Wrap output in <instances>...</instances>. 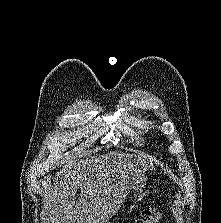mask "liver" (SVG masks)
<instances>
[{
    "instance_id": "6515ba94",
    "label": "liver",
    "mask_w": 221,
    "mask_h": 223,
    "mask_svg": "<svg viewBox=\"0 0 221 223\" xmlns=\"http://www.w3.org/2000/svg\"><path fill=\"white\" fill-rule=\"evenodd\" d=\"M145 168L146 158L123 152L78 162L71 158L55 173L44 223H107ZM78 189L81 194L75 202Z\"/></svg>"
}]
</instances>
